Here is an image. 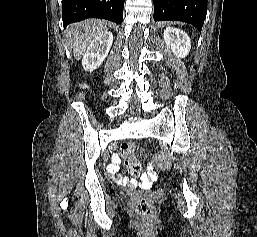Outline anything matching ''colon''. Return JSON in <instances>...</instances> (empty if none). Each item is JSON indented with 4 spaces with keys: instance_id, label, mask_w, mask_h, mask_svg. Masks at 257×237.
Returning <instances> with one entry per match:
<instances>
[{
    "instance_id": "obj_1",
    "label": "colon",
    "mask_w": 257,
    "mask_h": 237,
    "mask_svg": "<svg viewBox=\"0 0 257 237\" xmlns=\"http://www.w3.org/2000/svg\"><path fill=\"white\" fill-rule=\"evenodd\" d=\"M133 147L125 145L123 153L126 160V165L133 175H140L142 173V165L139 162L133 161L129 158ZM153 161L159 169H166L169 165L168 157L164 153H156L153 156ZM136 211L143 220H151L154 216L151 194L149 192L142 193L137 201Z\"/></svg>"
}]
</instances>
